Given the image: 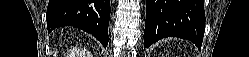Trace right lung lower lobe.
<instances>
[{"mask_svg":"<svg viewBox=\"0 0 249 57\" xmlns=\"http://www.w3.org/2000/svg\"><path fill=\"white\" fill-rule=\"evenodd\" d=\"M110 12V0H50L46 16L48 32L73 26L91 33L106 47Z\"/></svg>","mask_w":249,"mask_h":57,"instance_id":"98d812e1","label":"right lung lower lobe"}]
</instances>
